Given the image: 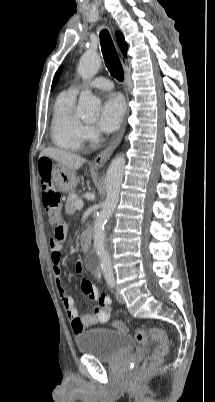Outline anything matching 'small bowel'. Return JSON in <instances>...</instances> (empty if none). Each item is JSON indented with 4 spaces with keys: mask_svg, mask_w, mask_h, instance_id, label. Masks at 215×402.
I'll list each match as a JSON object with an SVG mask.
<instances>
[{
    "mask_svg": "<svg viewBox=\"0 0 215 402\" xmlns=\"http://www.w3.org/2000/svg\"><path fill=\"white\" fill-rule=\"evenodd\" d=\"M66 237L67 227L65 225H60L56 227L54 238L49 240L48 246L50 250L52 272L55 278L57 290L61 297L67 317L71 321L73 331L75 333H79L87 326L96 323H106L110 318V305L112 301L109 296L102 295L99 289L93 283L84 279L81 281V290L91 301L96 302L98 307L95 309L93 314L79 315L75 308L74 300L69 294L61 277V252L63 242L65 241ZM75 269L78 273L82 272L83 263L81 260H77Z\"/></svg>",
    "mask_w": 215,
    "mask_h": 402,
    "instance_id": "small-bowel-1",
    "label": "small bowel"
}]
</instances>
